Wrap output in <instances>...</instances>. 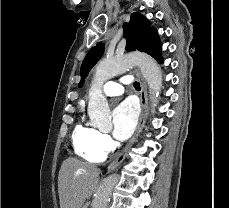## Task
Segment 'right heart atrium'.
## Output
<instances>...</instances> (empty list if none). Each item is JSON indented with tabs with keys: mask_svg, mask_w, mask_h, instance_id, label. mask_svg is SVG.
<instances>
[{
	"mask_svg": "<svg viewBox=\"0 0 229 208\" xmlns=\"http://www.w3.org/2000/svg\"><path fill=\"white\" fill-rule=\"evenodd\" d=\"M95 145L97 149L103 154L110 153L115 146L112 138L108 134L103 132L97 133Z\"/></svg>",
	"mask_w": 229,
	"mask_h": 208,
	"instance_id": "d8ad5b80",
	"label": "right heart atrium"
}]
</instances>
